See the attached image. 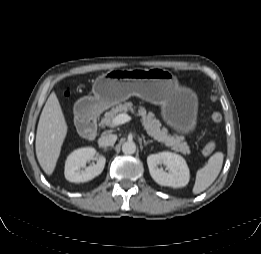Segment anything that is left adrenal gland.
I'll list each match as a JSON object with an SVG mask.
<instances>
[{
    "mask_svg": "<svg viewBox=\"0 0 261 254\" xmlns=\"http://www.w3.org/2000/svg\"><path fill=\"white\" fill-rule=\"evenodd\" d=\"M152 142H153L152 140L146 141V140L143 138V143H144L145 146H146L147 144H149V143H152Z\"/></svg>",
    "mask_w": 261,
    "mask_h": 254,
    "instance_id": "1",
    "label": "left adrenal gland"
}]
</instances>
